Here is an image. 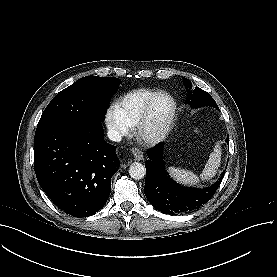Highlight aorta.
<instances>
[{
  "label": "aorta",
  "instance_id": "aorta-1",
  "mask_svg": "<svg viewBox=\"0 0 277 277\" xmlns=\"http://www.w3.org/2000/svg\"><path fill=\"white\" fill-rule=\"evenodd\" d=\"M129 175L135 180L143 179L146 175V168L142 163L134 162L129 167Z\"/></svg>",
  "mask_w": 277,
  "mask_h": 277
}]
</instances>
